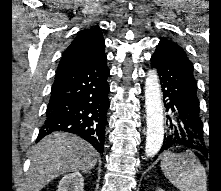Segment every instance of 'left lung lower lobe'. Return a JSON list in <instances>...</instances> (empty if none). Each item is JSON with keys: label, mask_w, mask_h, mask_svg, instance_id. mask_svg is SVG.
I'll use <instances>...</instances> for the list:
<instances>
[{"label": "left lung lower lobe", "mask_w": 221, "mask_h": 191, "mask_svg": "<svg viewBox=\"0 0 221 191\" xmlns=\"http://www.w3.org/2000/svg\"><path fill=\"white\" fill-rule=\"evenodd\" d=\"M162 86L168 123L159 153L186 147L206 153L193 64L176 43L161 39L151 57ZM157 159V156L154 160Z\"/></svg>", "instance_id": "1"}]
</instances>
